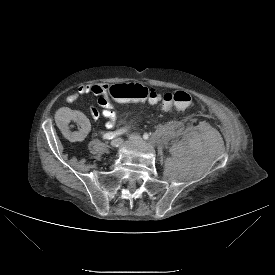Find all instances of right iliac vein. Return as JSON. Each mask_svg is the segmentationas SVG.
<instances>
[{"mask_svg":"<svg viewBox=\"0 0 275 275\" xmlns=\"http://www.w3.org/2000/svg\"><path fill=\"white\" fill-rule=\"evenodd\" d=\"M122 143V139L121 138H115L111 141L110 146L111 148H118Z\"/></svg>","mask_w":275,"mask_h":275,"instance_id":"right-iliac-vein-1","label":"right iliac vein"}]
</instances>
